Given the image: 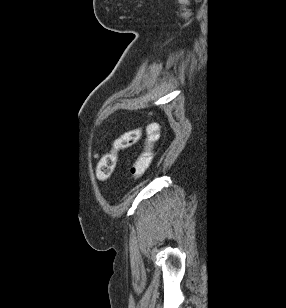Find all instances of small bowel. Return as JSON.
Returning <instances> with one entry per match:
<instances>
[{
	"label": "small bowel",
	"mask_w": 286,
	"mask_h": 308,
	"mask_svg": "<svg viewBox=\"0 0 286 308\" xmlns=\"http://www.w3.org/2000/svg\"><path fill=\"white\" fill-rule=\"evenodd\" d=\"M160 132L159 127L156 124H151L146 128V139H153L154 141H157L159 139Z\"/></svg>",
	"instance_id": "c3829d8e"
}]
</instances>
